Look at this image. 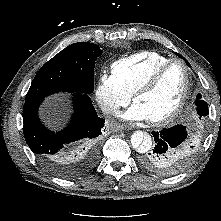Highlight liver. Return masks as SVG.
I'll list each match as a JSON object with an SVG mask.
<instances>
[{
    "mask_svg": "<svg viewBox=\"0 0 221 221\" xmlns=\"http://www.w3.org/2000/svg\"><path fill=\"white\" fill-rule=\"evenodd\" d=\"M65 95H56L48 98L45 108L42 110V118L48 126L52 128L59 127L65 117L66 107L63 103Z\"/></svg>",
    "mask_w": 221,
    "mask_h": 221,
    "instance_id": "1",
    "label": "liver"
}]
</instances>
